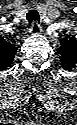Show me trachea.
<instances>
[{
    "label": "trachea",
    "mask_w": 77,
    "mask_h": 125,
    "mask_svg": "<svg viewBox=\"0 0 77 125\" xmlns=\"http://www.w3.org/2000/svg\"><path fill=\"white\" fill-rule=\"evenodd\" d=\"M26 19L28 20L29 24L31 25L32 22L34 21H39V13L37 12V10H30L27 14H26Z\"/></svg>",
    "instance_id": "trachea-1"
}]
</instances>
